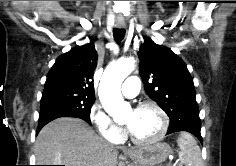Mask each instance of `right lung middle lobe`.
I'll list each match as a JSON object with an SVG mask.
<instances>
[{
	"label": "right lung middle lobe",
	"mask_w": 236,
	"mask_h": 166,
	"mask_svg": "<svg viewBox=\"0 0 236 166\" xmlns=\"http://www.w3.org/2000/svg\"><path fill=\"white\" fill-rule=\"evenodd\" d=\"M94 101V96L76 95L63 91L43 93L39 123L70 115L81 116L90 122V111Z\"/></svg>",
	"instance_id": "obj_1"
}]
</instances>
